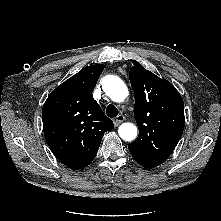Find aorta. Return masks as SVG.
<instances>
[{"label": "aorta", "instance_id": "obj_1", "mask_svg": "<svg viewBox=\"0 0 221 221\" xmlns=\"http://www.w3.org/2000/svg\"><path fill=\"white\" fill-rule=\"evenodd\" d=\"M103 91L115 102H123L128 96L126 84L115 75H108L102 82ZM119 136L125 141H133L137 137V127L132 123H123L118 129Z\"/></svg>", "mask_w": 221, "mask_h": 221}]
</instances>
